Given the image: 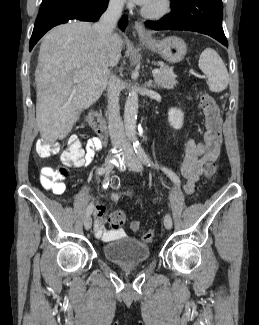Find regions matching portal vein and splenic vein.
<instances>
[{"instance_id": "portal-vein-and-splenic-vein-1", "label": "portal vein and splenic vein", "mask_w": 259, "mask_h": 325, "mask_svg": "<svg viewBox=\"0 0 259 325\" xmlns=\"http://www.w3.org/2000/svg\"><path fill=\"white\" fill-rule=\"evenodd\" d=\"M159 72H160L159 69H153V70H152V73H153L154 75H155V74H158ZM74 82L77 83L78 80H77V79H74Z\"/></svg>"}]
</instances>
